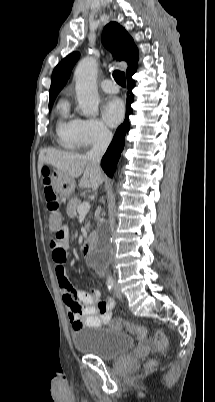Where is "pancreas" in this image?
Returning a JSON list of instances; mask_svg holds the SVG:
<instances>
[{
	"instance_id": "cf45deb5",
	"label": "pancreas",
	"mask_w": 215,
	"mask_h": 402,
	"mask_svg": "<svg viewBox=\"0 0 215 402\" xmlns=\"http://www.w3.org/2000/svg\"><path fill=\"white\" fill-rule=\"evenodd\" d=\"M80 205V200L77 198H72L67 204V214L69 217H75L77 214V207ZM90 224L87 223L86 227L89 229Z\"/></svg>"
}]
</instances>
